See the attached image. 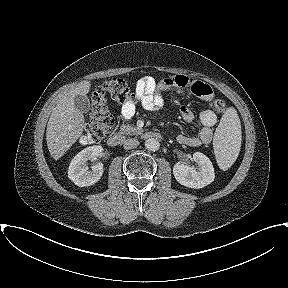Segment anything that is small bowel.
Instances as JSON below:
<instances>
[{
    "label": "small bowel",
    "mask_w": 288,
    "mask_h": 288,
    "mask_svg": "<svg viewBox=\"0 0 288 288\" xmlns=\"http://www.w3.org/2000/svg\"><path fill=\"white\" fill-rule=\"evenodd\" d=\"M168 90H174L179 94H185L189 90L204 101H211L214 97V92L208 84L187 76L178 75L161 81H156L153 77L146 76L139 79L136 83V102L122 106V117L125 120H130L136 112L137 105L146 110L161 108L164 105L163 93ZM180 113L186 122L192 123L194 121V115L187 106H181ZM217 119V114L213 110L202 111L199 116L201 125L199 134L196 136L181 134L177 137L178 143L192 147L209 144L213 137L212 128L217 123Z\"/></svg>",
    "instance_id": "small-bowel-1"
}]
</instances>
